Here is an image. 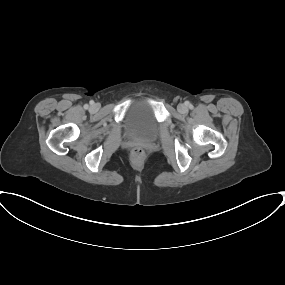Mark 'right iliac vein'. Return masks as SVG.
I'll use <instances>...</instances> for the list:
<instances>
[{"instance_id":"63e3f726","label":"right iliac vein","mask_w":285,"mask_h":285,"mask_svg":"<svg viewBox=\"0 0 285 285\" xmlns=\"http://www.w3.org/2000/svg\"><path fill=\"white\" fill-rule=\"evenodd\" d=\"M95 108V106H92V109H94Z\"/></svg>"}]
</instances>
